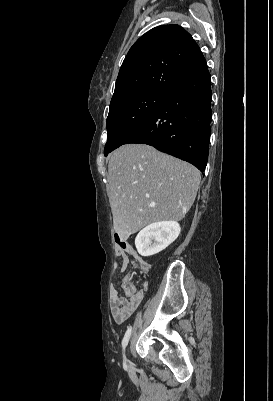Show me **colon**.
Listing matches in <instances>:
<instances>
[{"label":"colon","instance_id":"obj_1","mask_svg":"<svg viewBox=\"0 0 273 401\" xmlns=\"http://www.w3.org/2000/svg\"><path fill=\"white\" fill-rule=\"evenodd\" d=\"M118 256L119 257H124L126 255V252L124 250H119L118 251ZM124 268L127 270H130L133 268V263L130 261H127L124 263ZM151 269V262L150 261H141L140 262V267L137 270V273L139 276H146L148 273V270ZM135 281L132 278H128L125 281V284H120L118 288H115L113 290V295L115 297H124L126 293H134L135 291H140V286H135Z\"/></svg>","mask_w":273,"mask_h":401}]
</instances>
